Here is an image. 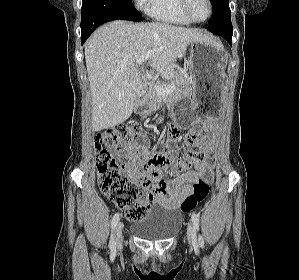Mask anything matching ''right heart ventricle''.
<instances>
[{"label":"right heart ventricle","mask_w":299,"mask_h":280,"mask_svg":"<svg viewBox=\"0 0 299 280\" xmlns=\"http://www.w3.org/2000/svg\"><path fill=\"white\" fill-rule=\"evenodd\" d=\"M146 11L155 20L176 25H190L192 22L182 13L179 0H149Z\"/></svg>","instance_id":"obj_1"}]
</instances>
